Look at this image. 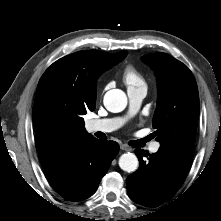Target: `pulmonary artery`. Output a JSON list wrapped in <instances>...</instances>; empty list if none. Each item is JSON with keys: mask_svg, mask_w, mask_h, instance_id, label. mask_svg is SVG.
Wrapping results in <instances>:
<instances>
[{"mask_svg": "<svg viewBox=\"0 0 221 221\" xmlns=\"http://www.w3.org/2000/svg\"><path fill=\"white\" fill-rule=\"evenodd\" d=\"M127 95L129 99L128 116H131L140 108L141 102L146 95V87L128 88ZM127 117L90 120L86 123V128L89 132H112L120 128L125 123ZM159 148L160 144L155 142L151 145L150 151L156 153Z\"/></svg>", "mask_w": 221, "mask_h": 221, "instance_id": "1", "label": "pulmonary artery"}]
</instances>
